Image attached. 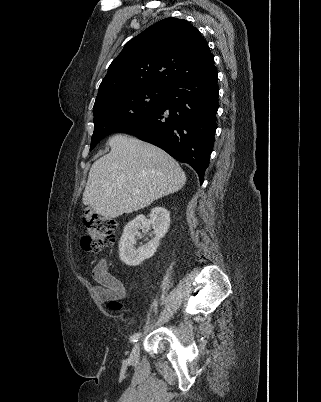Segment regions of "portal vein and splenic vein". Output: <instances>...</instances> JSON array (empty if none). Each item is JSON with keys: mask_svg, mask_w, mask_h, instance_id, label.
Returning <instances> with one entry per match:
<instances>
[{"mask_svg": "<svg viewBox=\"0 0 321 402\" xmlns=\"http://www.w3.org/2000/svg\"><path fill=\"white\" fill-rule=\"evenodd\" d=\"M117 184L122 185V184H123V180L118 179V180H117ZM135 191H137V190H135Z\"/></svg>", "mask_w": 321, "mask_h": 402, "instance_id": "portal-vein-and-splenic-vein-1", "label": "portal vein and splenic vein"}]
</instances>
